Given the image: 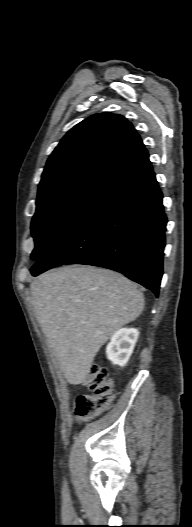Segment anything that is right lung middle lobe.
<instances>
[{"label": "right lung middle lobe", "instance_id": "dd1d6c3e", "mask_svg": "<svg viewBox=\"0 0 192 527\" xmlns=\"http://www.w3.org/2000/svg\"><path fill=\"white\" fill-rule=\"evenodd\" d=\"M107 180L84 177L38 193L31 224L35 249L31 259L39 261L79 217Z\"/></svg>", "mask_w": 192, "mask_h": 527}]
</instances>
